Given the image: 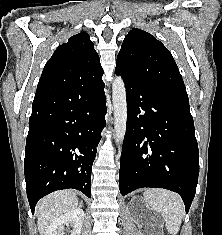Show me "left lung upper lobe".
Here are the masks:
<instances>
[{
    "instance_id": "1",
    "label": "left lung upper lobe",
    "mask_w": 222,
    "mask_h": 235,
    "mask_svg": "<svg viewBox=\"0 0 222 235\" xmlns=\"http://www.w3.org/2000/svg\"><path fill=\"white\" fill-rule=\"evenodd\" d=\"M115 69L189 103L183 79L171 53L148 32L137 28L129 31L118 53Z\"/></svg>"
}]
</instances>
